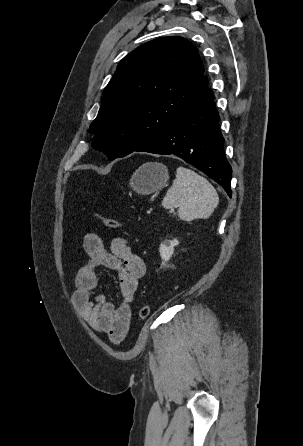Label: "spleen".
<instances>
[{"label":"spleen","instance_id":"obj_1","mask_svg":"<svg viewBox=\"0 0 303 446\" xmlns=\"http://www.w3.org/2000/svg\"><path fill=\"white\" fill-rule=\"evenodd\" d=\"M218 203V194L207 179L190 169L178 167L162 206L168 209L178 205V217L192 221L209 218Z\"/></svg>","mask_w":303,"mask_h":446}]
</instances>
